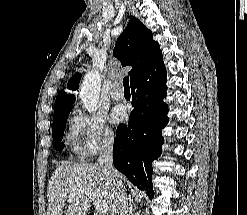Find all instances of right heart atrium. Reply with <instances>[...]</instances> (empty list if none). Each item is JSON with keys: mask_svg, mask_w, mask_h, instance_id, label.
<instances>
[{"mask_svg": "<svg viewBox=\"0 0 247 215\" xmlns=\"http://www.w3.org/2000/svg\"><path fill=\"white\" fill-rule=\"evenodd\" d=\"M70 136L83 157L93 156L99 150L110 147L115 139L103 114L82 111H76L70 120Z\"/></svg>", "mask_w": 247, "mask_h": 215, "instance_id": "d8ad5b80", "label": "right heart atrium"}]
</instances>
